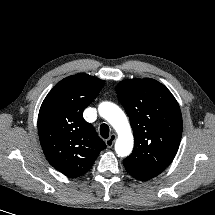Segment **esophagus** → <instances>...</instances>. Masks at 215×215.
Wrapping results in <instances>:
<instances>
[{
    "label": "esophagus",
    "mask_w": 215,
    "mask_h": 215,
    "mask_svg": "<svg viewBox=\"0 0 215 215\" xmlns=\"http://www.w3.org/2000/svg\"><path fill=\"white\" fill-rule=\"evenodd\" d=\"M115 139H116L115 134L110 135V137L105 141L107 147L111 148L115 142Z\"/></svg>",
    "instance_id": "34e87169"
}]
</instances>
